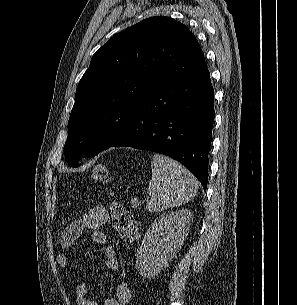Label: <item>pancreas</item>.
Wrapping results in <instances>:
<instances>
[{
  "label": "pancreas",
  "instance_id": "pancreas-1",
  "mask_svg": "<svg viewBox=\"0 0 297 305\" xmlns=\"http://www.w3.org/2000/svg\"><path fill=\"white\" fill-rule=\"evenodd\" d=\"M137 202H132L131 204L133 205V206H135V207H137V204H136Z\"/></svg>",
  "mask_w": 297,
  "mask_h": 305
}]
</instances>
